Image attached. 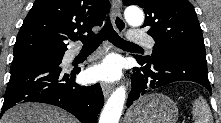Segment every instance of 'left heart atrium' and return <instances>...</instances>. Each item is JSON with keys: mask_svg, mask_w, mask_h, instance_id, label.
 <instances>
[{"mask_svg": "<svg viewBox=\"0 0 221 123\" xmlns=\"http://www.w3.org/2000/svg\"><path fill=\"white\" fill-rule=\"evenodd\" d=\"M121 72L120 62L113 57L105 59L88 71V78L92 81H112L119 77Z\"/></svg>", "mask_w": 221, "mask_h": 123, "instance_id": "1", "label": "left heart atrium"}]
</instances>
